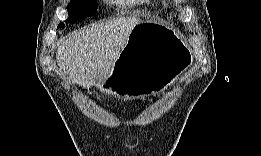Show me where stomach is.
<instances>
[{
	"label": "stomach",
	"mask_w": 261,
	"mask_h": 156,
	"mask_svg": "<svg viewBox=\"0 0 261 156\" xmlns=\"http://www.w3.org/2000/svg\"><path fill=\"white\" fill-rule=\"evenodd\" d=\"M156 40H165L168 49L156 50L142 64L132 65ZM190 60L189 51L173 29L144 20L131 31L111 75L97 87L124 100L155 95L171 85Z\"/></svg>",
	"instance_id": "0dacf381"
}]
</instances>
